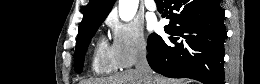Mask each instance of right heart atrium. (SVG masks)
I'll list each match as a JSON object with an SVG mask.
<instances>
[{
    "label": "right heart atrium",
    "instance_id": "1",
    "mask_svg": "<svg viewBox=\"0 0 260 84\" xmlns=\"http://www.w3.org/2000/svg\"><path fill=\"white\" fill-rule=\"evenodd\" d=\"M107 25L112 33L111 55L118 67L128 68L145 57L148 43L138 23L109 18Z\"/></svg>",
    "mask_w": 260,
    "mask_h": 84
}]
</instances>
